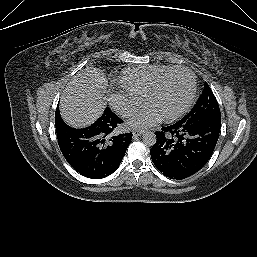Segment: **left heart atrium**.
Segmentation results:
<instances>
[{
  "label": "left heart atrium",
  "mask_w": 257,
  "mask_h": 257,
  "mask_svg": "<svg viewBox=\"0 0 257 257\" xmlns=\"http://www.w3.org/2000/svg\"><path fill=\"white\" fill-rule=\"evenodd\" d=\"M161 120V115L153 108L146 107L139 111L128 125L132 128L145 129L156 125Z\"/></svg>",
  "instance_id": "1"
}]
</instances>
